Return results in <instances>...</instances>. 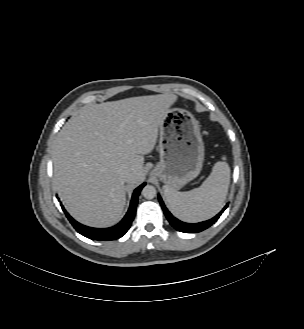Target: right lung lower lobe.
Here are the masks:
<instances>
[{
	"instance_id": "98d812e1",
	"label": "right lung lower lobe",
	"mask_w": 304,
	"mask_h": 329,
	"mask_svg": "<svg viewBox=\"0 0 304 329\" xmlns=\"http://www.w3.org/2000/svg\"><path fill=\"white\" fill-rule=\"evenodd\" d=\"M145 186V183L140 185L133 193L132 200L130 203V207L128 212L126 213L125 217L121 220L120 223L117 225L105 228V229H98V228H91L84 226L77 221H75L64 209L62 206V209L64 213L66 214L67 218L69 219L70 223L73 225V227L82 234L83 236L92 239V240H115L120 237H122L130 228V225L134 219L135 213H136V206L138 202V196L142 188Z\"/></svg>"
}]
</instances>
